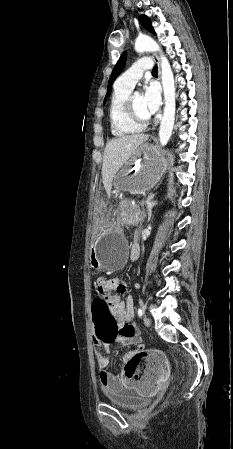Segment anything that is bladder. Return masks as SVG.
Listing matches in <instances>:
<instances>
[{
	"label": "bladder",
	"instance_id": "1",
	"mask_svg": "<svg viewBox=\"0 0 233 449\" xmlns=\"http://www.w3.org/2000/svg\"><path fill=\"white\" fill-rule=\"evenodd\" d=\"M104 395L111 404L124 410H136L150 403L149 398L137 395L135 390L119 386L106 388Z\"/></svg>",
	"mask_w": 233,
	"mask_h": 449
}]
</instances>
